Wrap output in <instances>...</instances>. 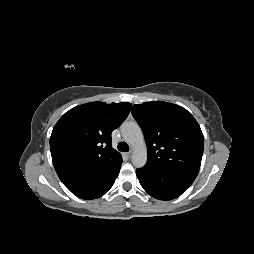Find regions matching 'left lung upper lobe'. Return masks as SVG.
<instances>
[{
  "mask_svg": "<svg viewBox=\"0 0 254 254\" xmlns=\"http://www.w3.org/2000/svg\"><path fill=\"white\" fill-rule=\"evenodd\" d=\"M131 112L144 133L148 153L146 165L197 176L204 137L199 124L185 108L152 101L134 105Z\"/></svg>",
  "mask_w": 254,
  "mask_h": 254,
  "instance_id": "5c2ea615",
  "label": "left lung upper lobe"
}]
</instances>
